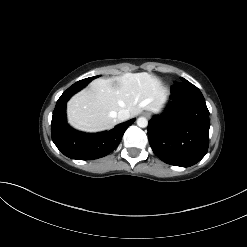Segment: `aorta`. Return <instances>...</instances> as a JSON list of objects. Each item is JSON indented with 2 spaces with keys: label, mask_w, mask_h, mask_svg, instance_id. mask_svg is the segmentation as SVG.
I'll return each instance as SVG.
<instances>
[{
  "label": "aorta",
  "mask_w": 247,
  "mask_h": 247,
  "mask_svg": "<svg viewBox=\"0 0 247 247\" xmlns=\"http://www.w3.org/2000/svg\"><path fill=\"white\" fill-rule=\"evenodd\" d=\"M137 125L141 128H145L148 125V120L145 117H139L137 119Z\"/></svg>",
  "instance_id": "762f6f07"
}]
</instances>
